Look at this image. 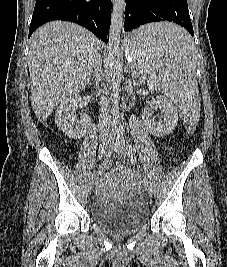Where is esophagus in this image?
I'll list each match as a JSON object with an SVG mask.
<instances>
[{"label":"esophagus","mask_w":227,"mask_h":267,"mask_svg":"<svg viewBox=\"0 0 227 267\" xmlns=\"http://www.w3.org/2000/svg\"><path fill=\"white\" fill-rule=\"evenodd\" d=\"M116 0H112V3L115 4Z\"/></svg>","instance_id":"34e87169"}]
</instances>
